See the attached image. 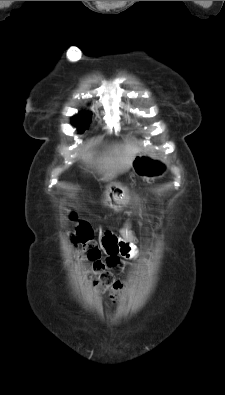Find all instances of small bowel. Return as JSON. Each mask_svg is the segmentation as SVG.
<instances>
[{
    "label": "small bowel",
    "instance_id": "1",
    "mask_svg": "<svg viewBox=\"0 0 225 395\" xmlns=\"http://www.w3.org/2000/svg\"><path fill=\"white\" fill-rule=\"evenodd\" d=\"M102 246L109 260V267L115 266L120 258L134 259L138 252L130 239H119L117 236L107 233L102 239Z\"/></svg>",
    "mask_w": 225,
    "mask_h": 395
}]
</instances>
